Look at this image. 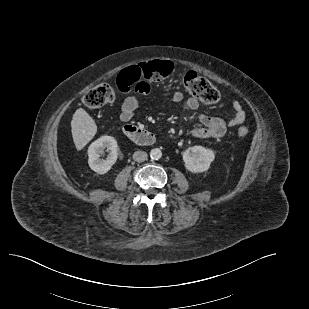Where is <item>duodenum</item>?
I'll use <instances>...</instances> for the list:
<instances>
[{
    "mask_svg": "<svg viewBox=\"0 0 309 309\" xmlns=\"http://www.w3.org/2000/svg\"><path fill=\"white\" fill-rule=\"evenodd\" d=\"M124 134L139 145H151L155 142V137L150 131L137 126L126 125L124 127Z\"/></svg>",
    "mask_w": 309,
    "mask_h": 309,
    "instance_id": "410a0bca",
    "label": "duodenum"
}]
</instances>
